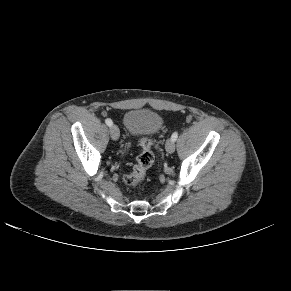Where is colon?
<instances>
[{
    "instance_id": "1",
    "label": "colon",
    "mask_w": 291,
    "mask_h": 291,
    "mask_svg": "<svg viewBox=\"0 0 291 291\" xmlns=\"http://www.w3.org/2000/svg\"><path fill=\"white\" fill-rule=\"evenodd\" d=\"M139 144L141 151L137 156L136 164L132 170L123 177V182L128 187H135L142 182L146 177L148 169L154 162V155L151 150L152 140L148 137H143L140 139Z\"/></svg>"
}]
</instances>
